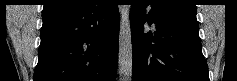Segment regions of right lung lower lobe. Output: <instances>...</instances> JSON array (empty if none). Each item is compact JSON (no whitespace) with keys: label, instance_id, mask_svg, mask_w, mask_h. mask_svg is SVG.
I'll return each mask as SVG.
<instances>
[{"label":"right lung lower lobe","instance_id":"1","mask_svg":"<svg viewBox=\"0 0 237 81\" xmlns=\"http://www.w3.org/2000/svg\"><path fill=\"white\" fill-rule=\"evenodd\" d=\"M42 19L34 81L115 80L119 13L114 0H86Z\"/></svg>","mask_w":237,"mask_h":81}]
</instances>
